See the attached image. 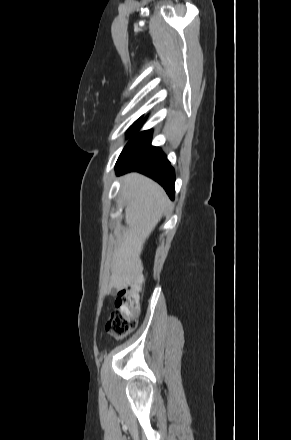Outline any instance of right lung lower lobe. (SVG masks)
Instances as JSON below:
<instances>
[{
    "label": "right lung lower lobe",
    "instance_id": "right-lung-lower-lobe-1",
    "mask_svg": "<svg viewBox=\"0 0 291 440\" xmlns=\"http://www.w3.org/2000/svg\"><path fill=\"white\" fill-rule=\"evenodd\" d=\"M140 127L141 125L120 154L115 166L116 173H143L160 183L169 197L174 199V169L161 149L151 146L152 131L137 133Z\"/></svg>",
    "mask_w": 291,
    "mask_h": 440
}]
</instances>
